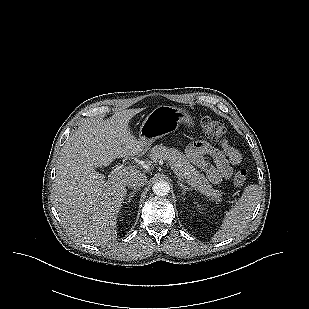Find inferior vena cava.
I'll return each instance as SVG.
<instances>
[{"label":"inferior vena cava","mask_w":309,"mask_h":309,"mask_svg":"<svg viewBox=\"0 0 309 309\" xmlns=\"http://www.w3.org/2000/svg\"><path fill=\"white\" fill-rule=\"evenodd\" d=\"M146 182H147V177L141 172H136L126 179V185L129 188H134V189H140L146 184Z\"/></svg>","instance_id":"inferior-vena-cava-1"}]
</instances>
